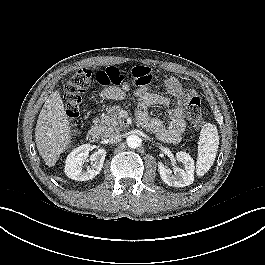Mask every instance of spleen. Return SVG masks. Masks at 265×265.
<instances>
[{
    "label": "spleen",
    "instance_id": "3e777b00",
    "mask_svg": "<svg viewBox=\"0 0 265 265\" xmlns=\"http://www.w3.org/2000/svg\"><path fill=\"white\" fill-rule=\"evenodd\" d=\"M218 145L219 135L216 126L211 123L205 124L198 141L197 176H203L211 168L217 155Z\"/></svg>",
    "mask_w": 265,
    "mask_h": 265
}]
</instances>
